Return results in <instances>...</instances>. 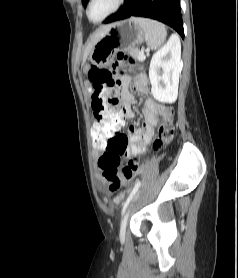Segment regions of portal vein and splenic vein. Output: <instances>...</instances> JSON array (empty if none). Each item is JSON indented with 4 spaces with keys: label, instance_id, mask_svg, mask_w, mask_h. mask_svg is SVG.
<instances>
[{
    "label": "portal vein and splenic vein",
    "instance_id": "obj_1",
    "mask_svg": "<svg viewBox=\"0 0 238 278\" xmlns=\"http://www.w3.org/2000/svg\"><path fill=\"white\" fill-rule=\"evenodd\" d=\"M145 55H144V53L143 52H141V55L139 56V60H145Z\"/></svg>",
    "mask_w": 238,
    "mask_h": 278
}]
</instances>
